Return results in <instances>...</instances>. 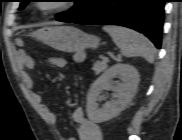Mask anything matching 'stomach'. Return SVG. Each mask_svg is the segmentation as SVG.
I'll list each match as a JSON object with an SVG mask.
<instances>
[{
	"instance_id": "0dacf381",
	"label": "stomach",
	"mask_w": 182,
	"mask_h": 140,
	"mask_svg": "<svg viewBox=\"0 0 182 140\" xmlns=\"http://www.w3.org/2000/svg\"><path fill=\"white\" fill-rule=\"evenodd\" d=\"M33 35L46 45L67 53H80L86 48H97L100 39L72 26H49L41 28Z\"/></svg>"
}]
</instances>
